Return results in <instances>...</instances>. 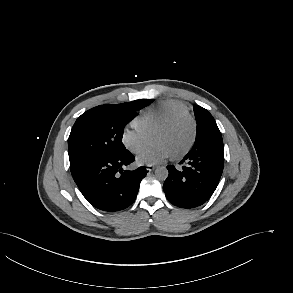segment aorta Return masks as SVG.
<instances>
[{"label":"aorta","instance_id":"obj_1","mask_svg":"<svg viewBox=\"0 0 293 293\" xmlns=\"http://www.w3.org/2000/svg\"><path fill=\"white\" fill-rule=\"evenodd\" d=\"M155 177L161 181L166 180L168 177L167 168L164 166L157 167L155 170Z\"/></svg>","mask_w":293,"mask_h":293}]
</instances>
